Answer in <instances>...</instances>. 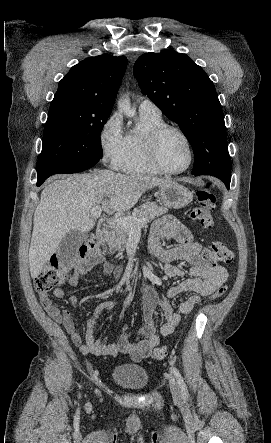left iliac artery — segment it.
I'll return each mask as SVG.
<instances>
[{"mask_svg":"<svg viewBox=\"0 0 271 443\" xmlns=\"http://www.w3.org/2000/svg\"><path fill=\"white\" fill-rule=\"evenodd\" d=\"M171 372L176 377L177 383H178V385H179V387L181 389L182 396L183 397H187L188 396L187 387H186V384H185V382H184V380H183L179 370L176 367L172 366L171 367Z\"/></svg>","mask_w":271,"mask_h":443,"instance_id":"left-iliac-artery-1","label":"left iliac artery"}]
</instances>
